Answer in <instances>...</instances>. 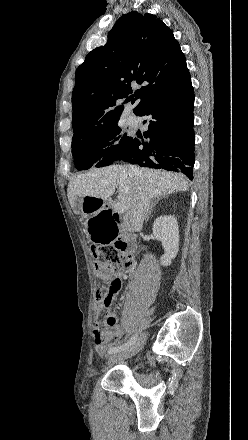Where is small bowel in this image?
Listing matches in <instances>:
<instances>
[{
    "mask_svg": "<svg viewBox=\"0 0 248 440\" xmlns=\"http://www.w3.org/2000/svg\"><path fill=\"white\" fill-rule=\"evenodd\" d=\"M124 271L123 267L119 268V271H116L114 274L116 276H122V272ZM121 283L120 279L117 278ZM102 290V289H100ZM103 309H106L98 302L95 303L93 313H94V321H93V337L95 340V350L99 356L105 354L107 350H109L114 344H118L122 337V329L117 323V317L111 311L106 312L105 323L107 328L102 329L99 322L98 317ZM114 341V344L111 342Z\"/></svg>",
    "mask_w": 248,
    "mask_h": 440,
    "instance_id": "c3829d8e",
    "label": "small bowel"
}]
</instances>
